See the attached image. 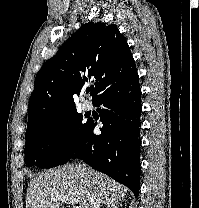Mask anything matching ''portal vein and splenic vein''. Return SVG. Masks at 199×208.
I'll use <instances>...</instances> for the list:
<instances>
[{
	"label": "portal vein and splenic vein",
	"mask_w": 199,
	"mask_h": 208,
	"mask_svg": "<svg viewBox=\"0 0 199 208\" xmlns=\"http://www.w3.org/2000/svg\"><path fill=\"white\" fill-rule=\"evenodd\" d=\"M58 200L64 202V203H69V204H76V199L74 198H69V197H62L58 198ZM74 208H80L79 206H75Z\"/></svg>",
	"instance_id": "portal-vein-and-splenic-vein-1"
}]
</instances>
